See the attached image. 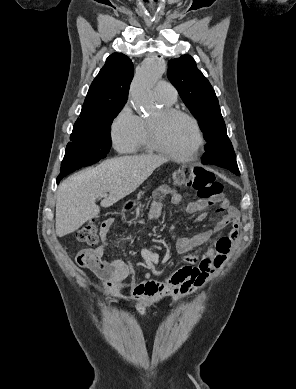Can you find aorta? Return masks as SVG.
Wrapping results in <instances>:
<instances>
[{
	"label": "aorta",
	"instance_id": "aorta-1",
	"mask_svg": "<svg viewBox=\"0 0 296 389\" xmlns=\"http://www.w3.org/2000/svg\"><path fill=\"white\" fill-rule=\"evenodd\" d=\"M164 72L165 62L155 55L149 56L137 68L130 88L131 100L135 107L149 109L154 106L152 89Z\"/></svg>",
	"mask_w": 296,
	"mask_h": 389
}]
</instances>
